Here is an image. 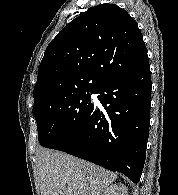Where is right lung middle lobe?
Segmentation results:
<instances>
[{
  "instance_id": "right-lung-middle-lobe-1",
  "label": "right lung middle lobe",
  "mask_w": 178,
  "mask_h": 195,
  "mask_svg": "<svg viewBox=\"0 0 178 195\" xmlns=\"http://www.w3.org/2000/svg\"><path fill=\"white\" fill-rule=\"evenodd\" d=\"M89 92L96 93L95 90H80L51 98L33 108L42 146L55 148L86 115L93 106Z\"/></svg>"
}]
</instances>
